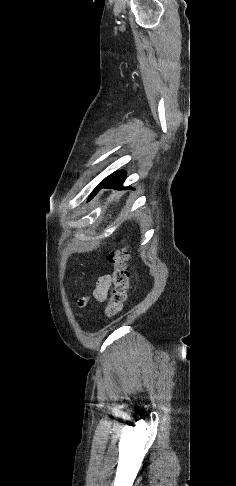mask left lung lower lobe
I'll return each instance as SVG.
<instances>
[{"label":"left lung lower lobe","instance_id":"left-lung-lower-lobe-1","mask_svg":"<svg viewBox=\"0 0 236 486\" xmlns=\"http://www.w3.org/2000/svg\"><path fill=\"white\" fill-rule=\"evenodd\" d=\"M126 174L123 171H117L106 177L98 186L96 193L101 188H113V189H132L130 187H123ZM95 193V194H96Z\"/></svg>","mask_w":236,"mask_h":486}]
</instances>
